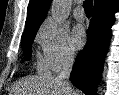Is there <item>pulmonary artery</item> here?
<instances>
[{
	"label": "pulmonary artery",
	"mask_w": 119,
	"mask_h": 95,
	"mask_svg": "<svg viewBox=\"0 0 119 95\" xmlns=\"http://www.w3.org/2000/svg\"><path fill=\"white\" fill-rule=\"evenodd\" d=\"M74 17L78 21H84L85 20V13L83 11L82 7H77L74 11Z\"/></svg>",
	"instance_id": "e3ab8cb5"
}]
</instances>
